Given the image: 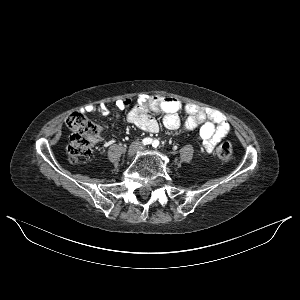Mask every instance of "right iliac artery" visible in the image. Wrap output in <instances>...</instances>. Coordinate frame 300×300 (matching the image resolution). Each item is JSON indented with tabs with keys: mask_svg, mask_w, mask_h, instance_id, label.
Masks as SVG:
<instances>
[{
	"mask_svg": "<svg viewBox=\"0 0 300 300\" xmlns=\"http://www.w3.org/2000/svg\"><path fill=\"white\" fill-rule=\"evenodd\" d=\"M143 145H149L152 143V139L151 138H144L142 140Z\"/></svg>",
	"mask_w": 300,
	"mask_h": 300,
	"instance_id": "right-iliac-artery-1",
	"label": "right iliac artery"
}]
</instances>
